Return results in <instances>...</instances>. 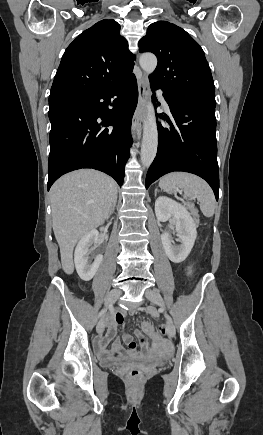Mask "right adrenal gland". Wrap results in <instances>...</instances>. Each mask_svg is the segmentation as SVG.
Segmentation results:
<instances>
[{"label": "right adrenal gland", "mask_w": 263, "mask_h": 435, "mask_svg": "<svg viewBox=\"0 0 263 435\" xmlns=\"http://www.w3.org/2000/svg\"><path fill=\"white\" fill-rule=\"evenodd\" d=\"M116 203H117V200H116L115 203L113 204V206H112V208H111V211H110V214H112V213L114 212V209H115ZM109 216H110V215H109Z\"/></svg>", "instance_id": "1"}]
</instances>
